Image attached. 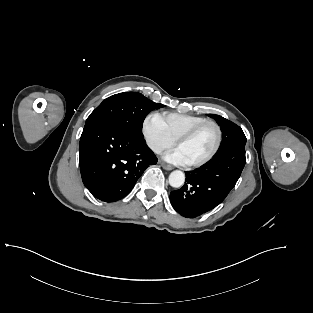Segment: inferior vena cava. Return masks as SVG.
<instances>
[{
    "instance_id": "inferior-vena-cava-1",
    "label": "inferior vena cava",
    "mask_w": 313,
    "mask_h": 313,
    "mask_svg": "<svg viewBox=\"0 0 313 313\" xmlns=\"http://www.w3.org/2000/svg\"><path fill=\"white\" fill-rule=\"evenodd\" d=\"M154 150H155L156 153H161L162 152V148H160V147H156Z\"/></svg>"
}]
</instances>
